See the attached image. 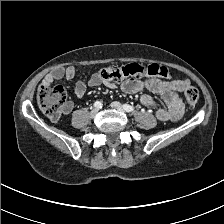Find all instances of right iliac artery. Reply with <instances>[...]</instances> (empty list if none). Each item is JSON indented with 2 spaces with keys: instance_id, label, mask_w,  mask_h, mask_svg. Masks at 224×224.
I'll list each match as a JSON object with an SVG mask.
<instances>
[{
  "instance_id": "obj_1",
  "label": "right iliac artery",
  "mask_w": 224,
  "mask_h": 224,
  "mask_svg": "<svg viewBox=\"0 0 224 224\" xmlns=\"http://www.w3.org/2000/svg\"><path fill=\"white\" fill-rule=\"evenodd\" d=\"M94 107H96V108H102V102L101 101H96L94 103Z\"/></svg>"
}]
</instances>
